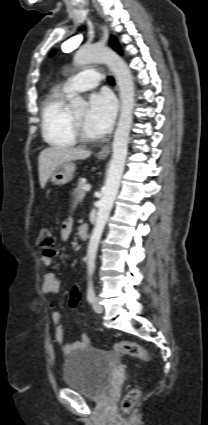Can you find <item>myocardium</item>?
<instances>
[{
  "label": "myocardium",
  "instance_id": "f54148a6",
  "mask_svg": "<svg viewBox=\"0 0 208 425\" xmlns=\"http://www.w3.org/2000/svg\"><path fill=\"white\" fill-rule=\"evenodd\" d=\"M71 122H72V131L76 138L81 143H92L95 141L94 137L88 136L80 123V121L74 116V114H71Z\"/></svg>",
  "mask_w": 208,
  "mask_h": 425
}]
</instances>
